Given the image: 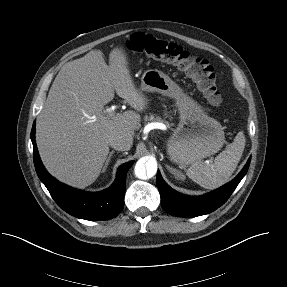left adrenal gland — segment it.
<instances>
[{
	"label": "left adrenal gland",
	"instance_id": "a2214340",
	"mask_svg": "<svg viewBox=\"0 0 287 287\" xmlns=\"http://www.w3.org/2000/svg\"><path fill=\"white\" fill-rule=\"evenodd\" d=\"M168 171L173 174L176 178H179V179H182L184 180V175L179 171V170H176L168 165H166Z\"/></svg>",
	"mask_w": 287,
	"mask_h": 287
}]
</instances>
